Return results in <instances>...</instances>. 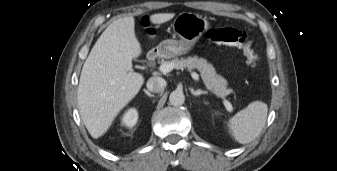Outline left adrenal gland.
Returning <instances> with one entry per match:
<instances>
[{
    "label": "left adrenal gland",
    "instance_id": "obj_1",
    "mask_svg": "<svg viewBox=\"0 0 337 171\" xmlns=\"http://www.w3.org/2000/svg\"><path fill=\"white\" fill-rule=\"evenodd\" d=\"M191 93H192L194 96H196V97L199 96V95H202V94H208L207 91L194 90V89L191 90Z\"/></svg>",
    "mask_w": 337,
    "mask_h": 171
}]
</instances>
